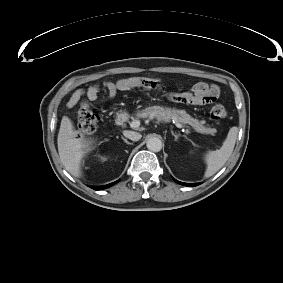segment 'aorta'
I'll return each instance as SVG.
<instances>
[{"label":"aorta","instance_id":"obj_1","mask_svg":"<svg viewBox=\"0 0 283 283\" xmlns=\"http://www.w3.org/2000/svg\"><path fill=\"white\" fill-rule=\"evenodd\" d=\"M146 146L152 152H159L162 149V141L160 138L152 136L148 138Z\"/></svg>","mask_w":283,"mask_h":283}]
</instances>
